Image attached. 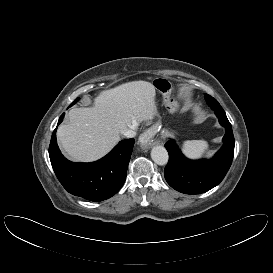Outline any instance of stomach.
Instances as JSON below:
<instances>
[{"instance_id": "1", "label": "stomach", "mask_w": 273, "mask_h": 273, "mask_svg": "<svg viewBox=\"0 0 273 273\" xmlns=\"http://www.w3.org/2000/svg\"><path fill=\"white\" fill-rule=\"evenodd\" d=\"M155 85L158 89V91L165 97L169 98L172 91H173V85L172 83L165 79V78H157L155 79ZM155 126L159 128L161 126V121L159 120Z\"/></svg>"}]
</instances>
